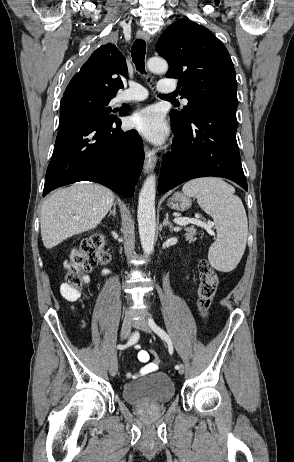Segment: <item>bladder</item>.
Wrapping results in <instances>:
<instances>
[{
	"instance_id": "31cf9c89",
	"label": "bladder",
	"mask_w": 294,
	"mask_h": 462,
	"mask_svg": "<svg viewBox=\"0 0 294 462\" xmlns=\"http://www.w3.org/2000/svg\"><path fill=\"white\" fill-rule=\"evenodd\" d=\"M122 393L134 405L164 404L174 397L175 385L167 374L156 372L124 385Z\"/></svg>"
}]
</instances>
